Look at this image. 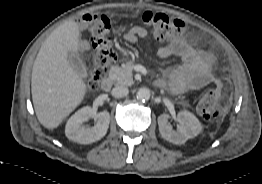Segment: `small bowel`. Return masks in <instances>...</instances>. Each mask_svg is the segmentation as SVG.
Wrapping results in <instances>:
<instances>
[{
    "label": "small bowel",
    "instance_id": "small-bowel-1",
    "mask_svg": "<svg viewBox=\"0 0 262 184\" xmlns=\"http://www.w3.org/2000/svg\"><path fill=\"white\" fill-rule=\"evenodd\" d=\"M149 38V32L141 26H134L123 34V39L130 43ZM80 47L86 49L87 44L83 42ZM157 54L161 58L175 55L182 61L177 68L169 73V88L173 94L179 95L199 90L217 82L213 73V56L196 50L184 40H174L161 46Z\"/></svg>",
    "mask_w": 262,
    "mask_h": 184
}]
</instances>
